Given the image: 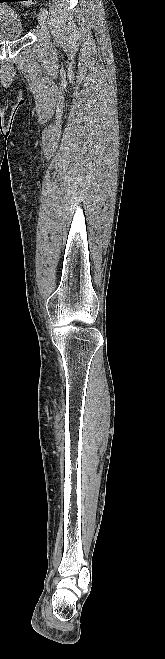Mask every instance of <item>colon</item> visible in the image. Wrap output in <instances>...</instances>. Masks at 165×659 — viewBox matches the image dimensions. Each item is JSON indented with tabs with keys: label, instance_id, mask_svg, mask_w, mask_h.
Here are the masks:
<instances>
[{
	"label": "colon",
	"instance_id": "1",
	"mask_svg": "<svg viewBox=\"0 0 165 659\" xmlns=\"http://www.w3.org/2000/svg\"><path fill=\"white\" fill-rule=\"evenodd\" d=\"M21 1H24V2L30 3V2H32L33 0H21Z\"/></svg>",
	"mask_w": 165,
	"mask_h": 659
}]
</instances>
